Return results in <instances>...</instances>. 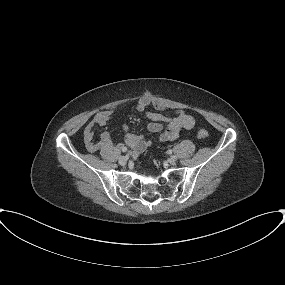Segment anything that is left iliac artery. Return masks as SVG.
<instances>
[{"label":"left iliac artery","mask_w":285,"mask_h":285,"mask_svg":"<svg viewBox=\"0 0 285 285\" xmlns=\"http://www.w3.org/2000/svg\"><path fill=\"white\" fill-rule=\"evenodd\" d=\"M168 153H169V154H172V150H168Z\"/></svg>","instance_id":"1"}]
</instances>
